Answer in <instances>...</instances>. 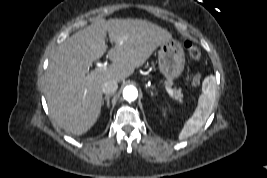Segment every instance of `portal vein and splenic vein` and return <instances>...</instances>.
<instances>
[{
    "mask_svg": "<svg viewBox=\"0 0 267 178\" xmlns=\"http://www.w3.org/2000/svg\"><path fill=\"white\" fill-rule=\"evenodd\" d=\"M106 70H107V65L103 64V63H100V64H98V66H97V68L95 69L94 72H103V71H106ZM165 89L169 93V95H171V96L173 95V93H174L173 89H171L168 86H165Z\"/></svg>",
    "mask_w": 267,
    "mask_h": 178,
    "instance_id": "18ae733b",
    "label": "portal vein and splenic vein"
}]
</instances>
